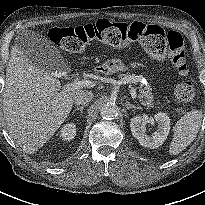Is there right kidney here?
Listing matches in <instances>:
<instances>
[{"instance_id":"obj_1","label":"right kidney","mask_w":205,"mask_h":205,"mask_svg":"<svg viewBox=\"0 0 205 205\" xmlns=\"http://www.w3.org/2000/svg\"><path fill=\"white\" fill-rule=\"evenodd\" d=\"M76 126L73 123L64 125L60 130V137L65 141H70L76 135Z\"/></svg>"}]
</instances>
